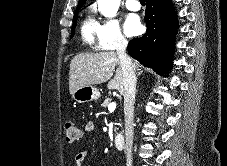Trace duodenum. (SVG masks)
<instances>
[{
    "instance_id": "obj_1",
    "label": "duodenum",
    "mask_w": 227,
    "mask_h": 166,
    "mask_svg": "<svg viewBox=\"0 0 227 166\" xmlns=\"http://www.w3.org/2000/svg\"><path fill=\"white\" fill-rule=\"evenodd\" d=\"M125 145V137L122 133L115 136V146L118 150H122Z\"/></svg>"
}]
</instances>
